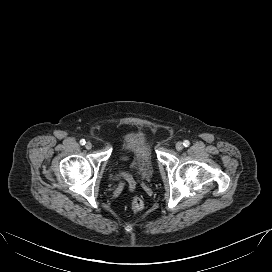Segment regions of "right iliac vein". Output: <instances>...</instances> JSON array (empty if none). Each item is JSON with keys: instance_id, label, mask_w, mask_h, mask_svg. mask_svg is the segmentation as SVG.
<instances>
[{"instance_id": "1", "label": "right iliac vein", "mask_w": 272, "mask_h": 272, "mask_svg": "<svg viewBox=\"0 0 272 272\" xmlns=\"http://www.w3.org/2000/svg\"><path fill=\"white\" fill-rule=\"evenodd\" d=\"M92 143L91 142H87L86 144H85V148L86 149H88V150H90L91 148H92Z\"/></svg>"}]
</instances>
